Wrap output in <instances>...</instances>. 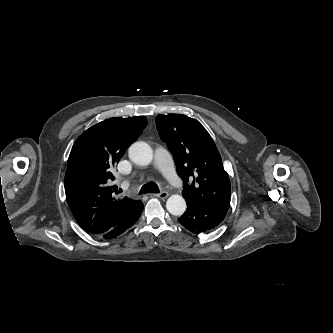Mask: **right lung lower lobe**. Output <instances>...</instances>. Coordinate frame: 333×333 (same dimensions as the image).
Listing matches in <instances>:
<instances>
[{"instance_id": "obj_1", "label": "right lung lower lobe", "mask_w": 333, "mask_h": 333, "mask_svg": "<svg viewBox=\"0 0 333 333\" xmlns=\"http://www.w3.org/2000/svg\"><path fill=\"white\" fill-rule=\"evenodd\" d=\"M144 205L142 204L140 208L132 214L128 219L123 221L122 223L118 224L117 226L113 227L110 231L104 233L100 237L104 238H114L123 232H125L128 228H130L140 217L142 211H143Z\"/></svg>"}]
</instances>
